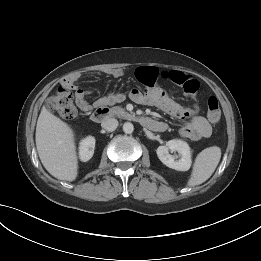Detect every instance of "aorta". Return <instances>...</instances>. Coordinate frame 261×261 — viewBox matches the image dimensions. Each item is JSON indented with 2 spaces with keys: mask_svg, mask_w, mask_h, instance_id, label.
Wrapping results in <instances>:
<instances>
[{
  "mask_svg": "<svg viewBox=\"0 0 261 261\" xmlns=\"http://www.w3.org/2000/svg\"><path fill=\"white\" fill-rule=\"evenodd\" d=\"M123 131L126 134H131L134 131V126L130 122H125L123 125Z\"/></svg>",
  "mask_w": 261,
  "mask_h": 261,
  "instance_id": "762f6f07",
  "label": "aorta"
}]
</instances>
